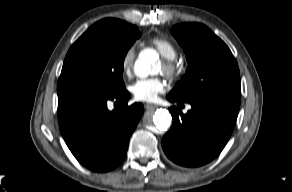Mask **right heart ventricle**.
<instances>
[{"label": "right heart ventricle", "mask_w": 292, "mask_h": 192, "mask_svg": "<svg viewBox=\"0 0 292 192\" xmlns=\"http://www.w3.org/2000/svg\"><path fill=\"white\" fill-rule=\"evenodd\" d=\"M150 43L166 60H174L177 56L176 46L168 39L163 37H155L150 40Z\"/></svg>", "instance_id": "obj_1"}]
</instances>
